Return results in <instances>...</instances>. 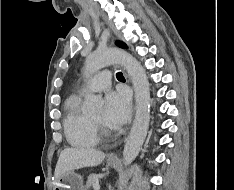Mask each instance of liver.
Returning <instances> with one entry per match:
<instances>
[{
    "label": "liver",
    "instance_id": "6515ba94",
    "mask_svg": "<svg viewBox=\"0 0 234 190\" xmlns=\"http://www.w3.org/2000/svg\"><path fill=\"white\" fill-rule=\"evenodd\" d=\"M105 156L103 152L92 148H66L59 155L54 173L55 181L65 172L100 165Z\"/></svg>",
    "mask_w": 234,
    "mask_h": 190
}]
</instances>
